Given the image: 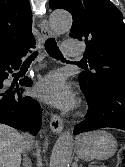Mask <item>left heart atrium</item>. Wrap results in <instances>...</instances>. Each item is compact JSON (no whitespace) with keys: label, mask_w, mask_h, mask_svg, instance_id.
Masks as SVG:
<instances>
[{"label":"left heart atrium","mask_w":125,"mask_h":167,"mask_svg":"<svg viewBox=\"0 0 125 167\" xmlns=\"http://www.w3.org/2000/svg\"><path fill=\"white\" fill-rule=\"evenodd\" d=\"M34 94L41 100L64 110L72 108L74 104L70 85L56 72L40 80L34 89Z\"/></svg>","instance_id":"left-heart-atrium-1"}]
</instances>
